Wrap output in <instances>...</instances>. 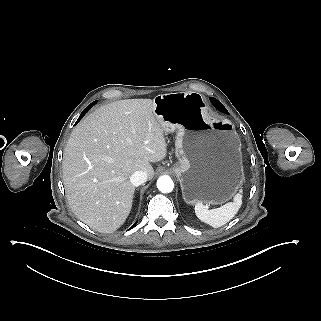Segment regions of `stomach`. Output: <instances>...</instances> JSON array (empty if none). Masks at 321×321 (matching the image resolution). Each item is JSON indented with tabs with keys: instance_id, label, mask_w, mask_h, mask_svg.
I'll return each mask as SVG.
<instances>
[{
	"instance_id": "0dacf381",
	"label": "stomach",
	"mask_w": 321,
	"mask_h": 321,
	"mask_svg": "<svg viewBox=\"0 0 321 321\" xmlns=\"http://www.w3.org/2000/svg\"><path fill=\"white\" fill-rule=\"evenodd\" d=\"M153 114L162 130L176 133L173 171L189 204H222L243 183L240 137L231 120L210 116L197 92L155 96Z\"/></svg>"
}]
</instances>
